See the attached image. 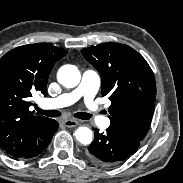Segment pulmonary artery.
<instances>
[{
  "instance_id": "1",
  "label": "pulmonary artery",
  "mask_w": 183,
  "mask_h": 183,
  "mask_svg": "<svg viewBox=\"0 0 183 183\" xmlns=\"http://www.w3.org/2000/svg\"><path fill=\"white\" fill-rule=\"evenodd\" d=\"M99 86V75L94 71H86L83 73L81 82L76 89L56 98L43 99L41 105L45 108L57 109L69 106L83 98L87 107L91 110L94 121L98 124L105 123L108 126L109 122L105 121V118L100 115L98 105L94 102Z\"/></svg>"
}]
</instances>
